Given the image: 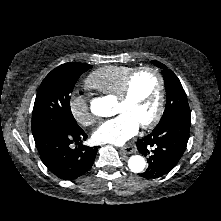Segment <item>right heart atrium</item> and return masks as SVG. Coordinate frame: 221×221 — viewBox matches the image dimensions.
<instances>
[{
  "mask_svg": "<svg viewBox=\"0 0 221 221\" xmlns=\"http://www.w3.org/2000/svg\"><path fill=\"white\" fill-rule=\"evenodd\" d=\"M68 108L75 121L82 126H90L97 121L90 109L89 99L84 95L71 93L68 98Z\"/></svg>",
  "mask_w": 221,
  "mask_h": 221,
  "instance_id": "d8ad5b80",
  "label": "right heart atrium"
}]
</instances>
